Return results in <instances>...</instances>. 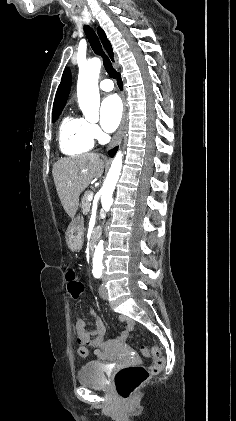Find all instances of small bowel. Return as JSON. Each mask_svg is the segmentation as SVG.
<instances>
[{
	"instance_id": "1",
	"label": "small bowel",
	"mask_w": 236,
	"mask_h": 421,
	"mask_svg": "<svg viewBox=\"0 0 236 421\" xmlns=\"http://www.w3.org/2000/svg\"><path fill=\"white\" fill-rule=\"evenodd\" d=\"M91 314L95 318L94 323H95L96 329L98 330V328H101L103 330V332L105 333V325L103 324V322L99 318H97L93 312H91ZM77 325H78V329L80 330L84 326V323H83V321L80 320V321H78ZM79 354H80L81 357H86L87 356V350L84 347H81L79 349Z\"/></svg>"
}]
</instances>
